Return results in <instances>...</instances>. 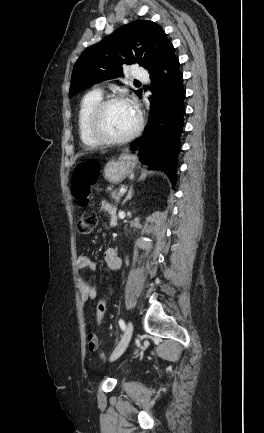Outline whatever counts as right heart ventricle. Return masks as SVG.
Here are the masks:
<instances>
[{
  "label": "right heart ventricle",
  "mask_w": 264,
  "mask_h": 433,
  "mask_svg": "<svg viewBox=\"0 0 264 433\" xmlns=\"http://www.w3.org/2000/svg\"><path fill=\"white\" fill-rule=\"evenodd\" d=\"M103 99L101 91L93 90L86 93L80 101L77 112V129L81 142L86 146H96L98 143L90 136L87 129L88 117L95 107Z\"/></svg>",
  "instance_id": "right-heart-ventricle-1"
}]
</instances>
